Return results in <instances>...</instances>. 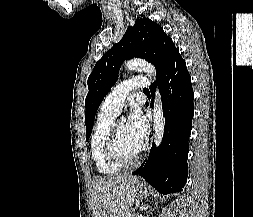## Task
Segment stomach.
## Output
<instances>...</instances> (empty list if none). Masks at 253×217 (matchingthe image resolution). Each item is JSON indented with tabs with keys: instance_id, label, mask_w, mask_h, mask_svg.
I'll use <instances>...</instances> for the list:
<instances>
[{
	"instance_id": "obj_1",
	"label": "stomach",
	"mask_w": 253,
	"mask_h": 217,
	"mask_svg": "<svg viewBox=\"0 0 253 217\" xmlns=\"http://www.w3.org/2000/svg\"><path fill=\"white\" fill-rule=\"evenodd\" d=\"M134 188L136 194H145L147 192V188L142 182H136Z\"/></svg>"
}]
</instances>
